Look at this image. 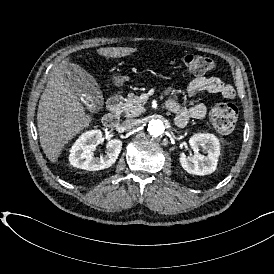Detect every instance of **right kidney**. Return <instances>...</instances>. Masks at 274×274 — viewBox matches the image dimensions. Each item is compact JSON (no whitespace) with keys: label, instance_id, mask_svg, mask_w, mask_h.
Wrapping results in <instances>:
<instances>
[{"label":"right kidney","instance_id":"ca27d5eb","mask_svg":"<svg viewBox=\"0 0 274 274\" xmlns=\"http://www.w3.org/2000/svg\"><path fill=\"white\" fill-rule=\"evenodd\" d=\"M101 139L102 132L98 129L82 133L70 149V164L73 167L88 171H98L111 167L122 150V141L119 139L109 140L106 144V155L94 157L93 151Z\"/></svg>","mask_w":274,"mask_h":274}]
</instances>
